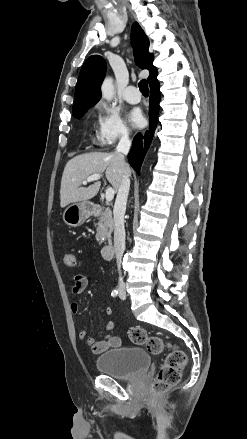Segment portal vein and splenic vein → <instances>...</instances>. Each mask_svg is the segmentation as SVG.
<instances>
[{"mask_svg":"<svg viewBox=\"0 0 247 439\" xmlns=\"http://www.w3.org/2000/svg\"><path fill=\"white\" fill-rule=\"evenodd\" d=\"M100 178H101V174H93V175L89 176L87 179H85L82 183L84 185H86L87 183L95 181V180H99ZM114 193H115L114 189L112 187H108L106 189V194H105L106 201L109 202V201L113 200Z\"/></svg>","mask_w":247,"mask_h":439,"instance_id":"portal-vein-and-splenic-vein-1","label":"portal vein and splenic vein"}]
</instances>
